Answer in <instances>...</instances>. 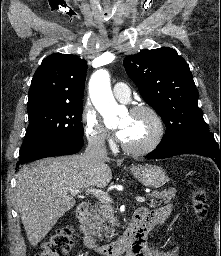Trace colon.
<instances>
[{"mask_svg": "<svg viewBox=\"0 0 221 256\" xmlns=\"http://www.w3.org/2000/svg\"><path fill=\"white\" fill-rule=\"evenodd\" d=\"M192 206L195 215L203 219L207 214L206 194L198 187L192 193ZM74 245L71 227L66 226L53 233L43 244L35 256H68Z\"/></svg>", "mask_w": 221, "mask_h": 256, "instance_id": "5ec220e1", "label": "colon"}]
</instances>
